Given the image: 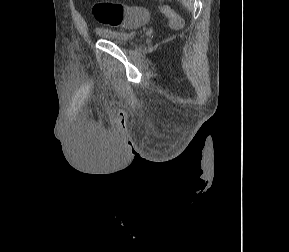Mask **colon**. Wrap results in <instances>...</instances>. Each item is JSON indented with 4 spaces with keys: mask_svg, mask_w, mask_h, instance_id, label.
Listing matches in <instances>:
<instances>
[{
    "mask_svg": "<svg viewBox=\"0 0 289 252\" xmlns=\"http://www.w3.org/2000/svg\"><path fill=\"white\" fill-rule=\"evenodd\" d=\"M162 11L171 19L174 26H180L182 24L180 17L170 8L163 7ZM92 13L99 23L125 28L136 27L140 23L148 22L150 19V12L144 7H130L108 1L95 3L92 8Z\"/></svg>",
    "mask_w": 289,
    "mask_h": 252,
    "instance_id": "colon-1",
    "label": "colon"
}]
</instances>
